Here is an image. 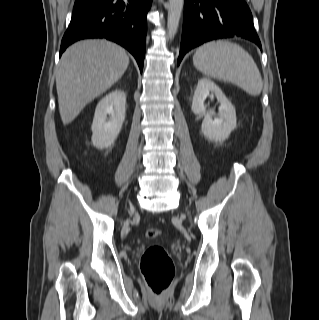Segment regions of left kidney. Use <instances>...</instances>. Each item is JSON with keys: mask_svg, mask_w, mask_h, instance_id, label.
Segmentation results:
<instances>
[{"mask_svg": "<svg viewBox=\"0 0 319 320\" xmlns=\"http://www.w3.org/2000/svg\"><path fill=\"white\" fill-rule=\"evenodd\" d=\"M217 98L220 103L218 117L214 110H207L204 101L209 96ZM192 111L198 116H204L201 130L204 136L214 141L226 140L236 128V111L232 103L226 98L222 90L209 78H201L196 86Z\"/></svg>", "mask_w": 319, "mask_h": 320, "instance_id": "1", "label": "left kidney"}]
</instances>
